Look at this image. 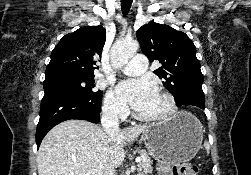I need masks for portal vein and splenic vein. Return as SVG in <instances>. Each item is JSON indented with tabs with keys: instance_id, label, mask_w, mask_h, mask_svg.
<instances>
[{
	"instance_id": "obj_1",
	"label": "portal vein and splenic vein",
	"mask_w": 251,
	"mask_h": 175,
	"mask_svg": "<svg viewBox=\"0 0 251 175\" xmlns=\"http://www.w3.org/2000/svg\"><path fill=\"white\" fill-rule=\"evenodd\" d=\"M141 157H136L135 161H140ZM84 175H90V173H84Z\"/></svg>"
}]
</instances>
